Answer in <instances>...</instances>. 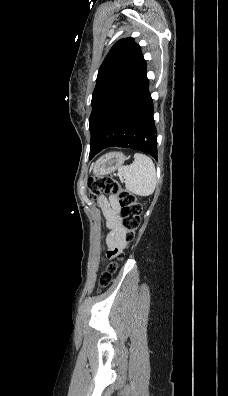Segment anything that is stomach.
<instances>
[{
	"mask_svg": "<svg viewBox=\"0 0 228 396\" xmlns=\"http://www.w3.org/2000/svg\"><path fill=\"white\" fill-rule=\"evenodd\" d=\"M126 156L121 152H111L98 159L93 167L96 176H105L120 168Z\"/></svg>",
	"mask_w": 228,
	"mask_h": 396,
	"instance_id": "0dacf381",
	"label": "stomach"
}]
</instances>
